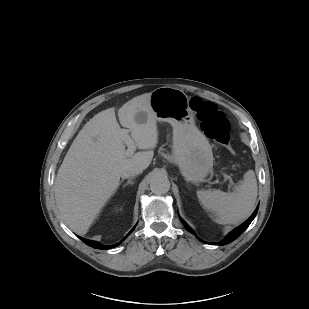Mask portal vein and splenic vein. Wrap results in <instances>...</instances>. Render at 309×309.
I'll return each instance as SVG.
<instances>
[{
	"label": "portal vein and splenic vein",
	"mask_w": 309,
	"mask_h": 309,
	"mask_svg": "<svg viewBox=\"0 0 309 309\" xmlns=\"http://www.w3.org/2000/svg\"><path fill=\"white\" fill-rule=\"evenodd\" d=\"M123 139H124L125 143H126L127 146H128L127 155L130 156V155H132V154L134 153V151H135L134 142H133V140L131 139V137L127 134V132H125L124 138H123ZM223 176H224V178H225L226 180H229L231 183H233L230 176H228L227 174H223Z\"/></svg>",
	"instance_id": "portal-vein-and-splenic-vein-1"
}]
</instances>
